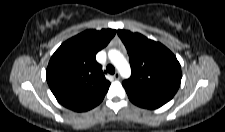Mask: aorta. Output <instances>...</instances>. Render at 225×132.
I'll use <instances>...</instances> for the list:
<instances>
[{"mask_svg": "<svg viewBox=\"0 0 225 132\" xmlns=\"http://www.w3.org/2000/svg\"><path fill=\"white\" fill-rule=\"evenodd\" d=\"M108 58L111 63L117 68L118 72L123 78H129L131 75V68L124 55L116 50L111 49L108 51Z\"/></svg>", "mask_w": 225, "mask_h": 132, "instance_id": "obj_1", "label": "aorta"}]
</instances>
